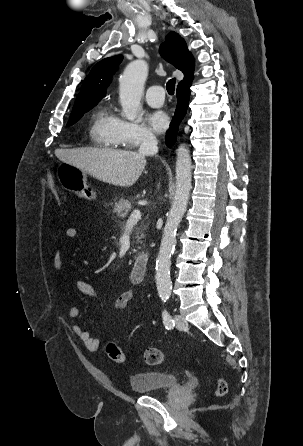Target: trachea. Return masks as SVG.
I'll list each match as a JSON object with an SVG mask.
<instances>
[{
  "label": "trachea",
  "mask_w": 303,
  "mask_h": 446,
  "mask_svg": "<svg viewBox=\"0 0 303 446\" xmlns=\"http://www.w3.org/2000/svg\"><path fill=\"white\" fill-rule=\"evenodd\" d=\"M176 79L172 78L167 82L166 89L170 95L174 94Z\"/></svg>",
  "instance_id": "3493384b"
}]
</instances>
